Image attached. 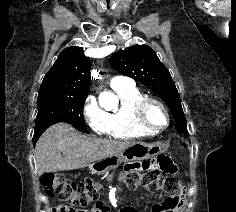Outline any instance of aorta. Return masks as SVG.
Returning <instances> with one entry per match:
<instances>
[{
	"mask_svg": "<svg viewBox=\"0 0 236 212\" xmlns=\"http://www.w3.org/2000/svg\"><path fill=\"white\" fill-rule=\"evenodd\" d=\"M101 97H103L107 100L110 107H115L118 104V98L115 95L111 94V93H106L105 92V93L101 94Z\"/></svg>",
	"mask_w": 236,
	"mask_h": 212,
	"instance_id": "obj_1",
	"label": "aorta"
}]
</instances>
